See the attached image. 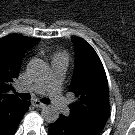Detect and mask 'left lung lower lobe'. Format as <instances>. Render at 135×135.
Returning a JSON list of instances; mask_svg holds the SVG:
<instances>
[{
  "instance_id": "obj_1",
  "label": "left lung lower lobe",
  "mask_w": 135,
  "mask_h": 135,
  "mask_svg": "<svg viewBox=\"0 0 135 135\" xmlns=\"http://www.w3.org/2000/svg\"><path fill=\"white\" fill-rule=\"evenodd\" d=\"M49 135H91L82 129L72 126L62 116L49 125Z\"/></svg>"
}]
</instances>
